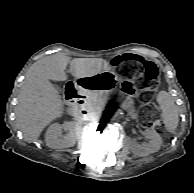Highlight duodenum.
Instances as JSON below:
<instances>
[{
    "instance_id": "1",
    "label": "duodenum",
    "mask_w": 194,
    "mask_h": 193,
    "mask_svg": "<svg viewBox=\"0 0 194 193\" xmlns=\"http://www.w3.org/2000/svg\"><path fill=\"white\" fill-rule=\"evenodd\" d=\"M66 96L70 99L69 111L73 116L86 114L88 96L77 90L72 83L68 85Z\"/></svg>"
}]
</instances>
